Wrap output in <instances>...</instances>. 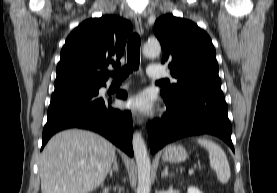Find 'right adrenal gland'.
<instances>
[{"label": "right adrenal gland", "mask_w": 277, "mask_h": 193, "mask_svg": "<svg viewBox=\"0 0 277 193\" xmlns=\"http://www.w3.org/2000/svg\"><path fill=\"white\" fill-rule=\"evenodd\" d=\"M118 172V162H117V158L115 157L114 158V163H113V167L110 169V171H109V175H110V177H112L113 176V172Z\"/></svg>", "instance_id": "obj_1"}]
</instances>
